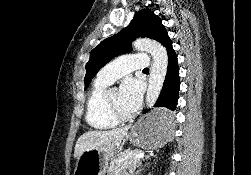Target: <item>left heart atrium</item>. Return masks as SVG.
<instances>
[{
	"instance_id": "obj_1",
	"label": "left heart atrium",
	"mask_w": 251,
	"mask_h": 175,
	"mask_svg": "<svg viewBox=\"0 0 251 175\" xmlns=\"http://www.w3.org/2000/svg\"><path fill=\"white\" fill-rule=\"evenodd\" d=\"M143 97V84L135 77L123 80L119 90V100L123 110L134 113L138 110Z\"/></svg>"
}]
</instances>
